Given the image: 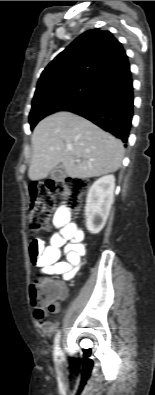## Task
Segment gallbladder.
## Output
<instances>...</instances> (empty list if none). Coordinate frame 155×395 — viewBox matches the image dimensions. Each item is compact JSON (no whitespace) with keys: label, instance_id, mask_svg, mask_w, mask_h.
Listing matches in <instances>:
<instances>
[{"label":"gallbladder","instance_id":"bac80fb5","mask_svg":"<svg viewBox=\"0 0 155 395\" xmlns=\"http://www.w3.org/2000/svg\"><path fill=\"white\" fill-rule=\"evenodd\" d=\"M50 177L55 181H61L66 177V171L62 166H57L51 171Z\"/></svg>","mask_w":155,"mask_h":395}]
</instances>
